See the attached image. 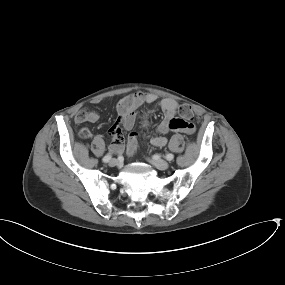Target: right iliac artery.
Wrapping results in <instances>:
<instances>
[{"instance_id":"1","label":"right iliac artery","mask_w":285,"mask_h":285,"mask_svg":"<svg viewBox=\"0 0 285 285\" xmlns=\"http://www.w3.org/2000/svg\"><path fill=\"white\" fill-rule=\"evenodd\" d=\"M110 159H111V154L109 153L103 157V162L107 163L109 162Z\"/></svg>"}]
</instances>
